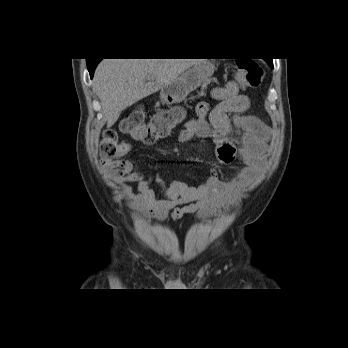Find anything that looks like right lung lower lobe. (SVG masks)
<instances>
[{"instance_id": "98d812e1", "label": "right lung lower lobe", "mask_w": 348, "mask_h": 348, "mask_svg": "<svg viewBox=\"0 0 348 348\" xmlns=\"http://www.w3.org/2000/svg\"><path fill=\"white\" fill-rule=\"evenodd\" d=\"M99 61L100 60H89V59H87V66H88V70H89L91 78L93 76L94 69H95V67H96V65L98 64Z\"/></svg>"}]
</instances>
